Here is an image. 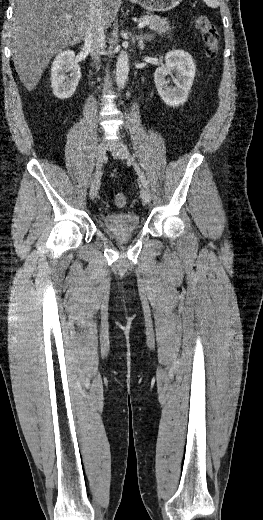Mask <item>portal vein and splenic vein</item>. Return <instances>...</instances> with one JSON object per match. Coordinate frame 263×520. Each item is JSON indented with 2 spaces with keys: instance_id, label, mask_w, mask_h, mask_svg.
<instances>
[{
  "instance_id": "portal-vein-and-splenic-vein-1",
  "label": "portal vein and splenic vein",
  "mask_w": 263,
  "mask_h": 520,
  "mask_svg": "<svg viewBox=\"0 0 263 520\" xmlns=\"http://www.w3.org/2000/svg\"><path fill=\"white\" fill-rule=\"evenodd\" d=\"M66 19H67V20H70V19H71V16H70V15H66ZM147 23H148V21H141V22L138 23V27L142 28V27H144Z\"/></svg>"
}]
</instances>
